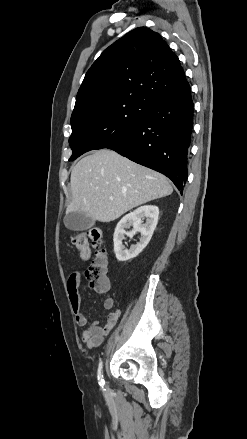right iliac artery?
<instances>
[{
  "mask_svg": "<svg viewBox=\"0 0 247 439\" xmlns=\"http://www.w3.org/2000/svg\"><path fill=\"white\" fill-rule=\"evenodd\" d=\"M98 383L101 386V388L103 390H105V388H104L105 382H104V379H103V372H102V361H100L99 367H98Z\"/></svg>",
  "mask_w": 247,
  "mask_h": 439,
  "instance_id": "obj_1",
  "label": "right iliac artery"
}]
</instances>
